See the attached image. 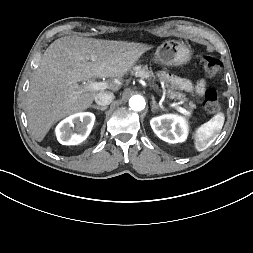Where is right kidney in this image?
Here are the masks:
<instances>
[{
	"mask_svg": "<svg viewBox=\"0 0 253 253\" xmlns=\"http://www.w3.org/2000/svg\"><path fill=\"white\" fill-rule=\"evenodd\" d=\"M95 115L89 112L76 113L62 120L56 127V136L62 145H77L91 132Z\"/></svg>",
	"mask_w": 253,
	"mask_h": 253,
	"instance_id": "right-kidney-1",
	"label": "right kidney"
}]
</instances>
